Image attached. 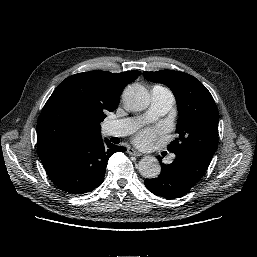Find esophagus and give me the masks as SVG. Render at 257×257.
Here are the masks:
<instances>
[{"instance_id": "34e87169", "label": "esophagus", "mask_w": 257, "mask_h": 257, "mask_svg": "<svg viewBox=\"0 0 257 257\" xmlns=\"http://www.w3.org/2000/svg\"><path fill=\"white\" fill-rule=\"evenodd\" d=\"M128 153L132 156H142V153L138 152L137 150L133 149V148H128Z\"/></svg>"}]
</instances>
